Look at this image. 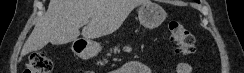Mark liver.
<instances>
[{"mask_svg": "<svg viewBox=\"0 0 244 73\" xmlns=\"http://www.w3.org/2000/svg\"><path fill=\"white\" fill-rule=\"evenodd\" d=\"M147 0H50L46 14L36 23L21 56L52 44L75 41L80 25L85 40L109 35L120 28L130 12Z\"/></svg>", "mask_w": 244, "mask_h": 73, "instance_id": "obj_1", "label": "liver"}]
</instances>
